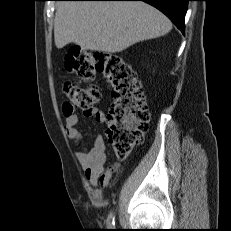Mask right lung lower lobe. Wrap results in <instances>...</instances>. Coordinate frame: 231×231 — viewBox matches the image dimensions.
<instances>
[{
	"label": "right lung lower lobe",
	"mask_w": 231,
	"mask_h": 231,
	"mask_svg": "<svg viewBox=\"0 0 231 231\" xmlns=\"http://www.w3.org/2000/svg\"><path fill=\"white\" fill-rule=\"evenodd\" d=\"M86 1H144L162 11L184 33V17L189 0H86Z\"/></svg>",
	"instance_id": "right-lung-lower-lobe-1"
}]
</instances>
